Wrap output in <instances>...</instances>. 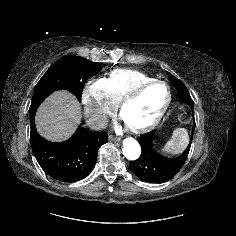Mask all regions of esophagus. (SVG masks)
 <instances>
[{
  "label": "esophagus",
  "mask_w": 236,
  "mask_h": 236,
  "mask_svg": "<svg viewBox=\"0 0 236 236\" xmlns=\"http://www.w3.org/2000/svg\"><path fill=\"white\" fill-rule=\"evenodd\" d=\"M119 140H120V138L117 137V136H109V141H110V142L119 141Z\"/></svg>",
  "instance_id": "34e87169"
}]
</instances>
